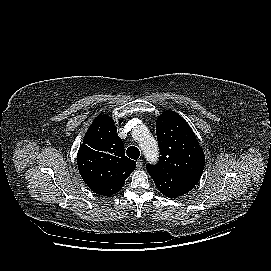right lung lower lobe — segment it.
<instances>
[{"label": "right lung lower lobe", "mask_w": 271, "mask_h": 271, "mask_svg": "<svg viewBox=\"0 0 271 271\" xmlns=\"http://www.w3.org/2000/svg\"><path fill=\"white\" fill-rule=\"evenodd\" d=\"M91 190H93L95 193L100 194V195H103L106 192H107L106 194H108L111 191V189H109L107 187H103V188H91ZM107 196H109V195H107Z\"/></svg>", "instance_id": "obj_1"}]
</instances>
